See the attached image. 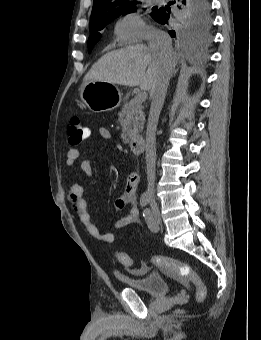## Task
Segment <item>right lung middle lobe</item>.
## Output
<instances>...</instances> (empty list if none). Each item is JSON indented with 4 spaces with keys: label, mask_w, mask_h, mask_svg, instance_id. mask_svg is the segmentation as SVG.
Segmentation results:
<instances>
[{
    "label": "right lung middle lobe",
    "mask_w": 261,
    "mask_h": 340,
    "mask_svg": "<svg viewBox=\"0 0 261 340\" xmlns=\"http://www.w3.org/2000/svg\"><path fill=\"white\" fill-rule=\"evenodd\" d=\"M136 3L124 8L120 13L115 16L105 17L98 21L90 23V33L88 39V52H91L93 46L101 38L100 30H102L108 23H110L116 17L136 11ZM151 17L154 18L158 14V8H152ZM177 25L176 32L179 38L188 41L205 40L209 37L211 28V16L210 11L204 9L202 1L189 2V4L180 9L176 15Z\"/></svg>",
    "instance_id": "1"
}]
</instances>
